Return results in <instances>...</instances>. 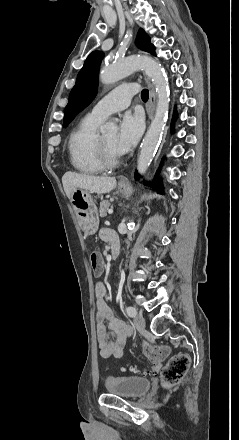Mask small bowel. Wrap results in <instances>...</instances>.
<instances>
[{
	"label": "small bowel",
	"mask_w": 239,
	"mask_h": 440,
	"mask_svg": "<svg viewBox=\"0 0 239 440\" xmlns=\"http://www.w3.org/2000/svg\"><path fill=\"white\" fill-rule=\"evenodd\" d=\"M100 237L110 244L118 242L116 234L108 229H102ZM95 296L97 340L100 355L104 358H120L130 336V328L126 323L117 319L108 307L105 300L106 288L102 282L97 283Z\"/></svg>",
	"instance_id": "obj_1"
}]
</instances>
